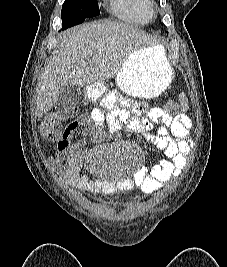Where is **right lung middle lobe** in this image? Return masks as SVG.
<instances>
[{
    "instance_id": "1",
    "label": "right lung middle lobe",
    "mask_w": 227,
    "mask_h": 267,
    "mask_svg": "<svg viewBox=\"0 0 227 267\" xmlns=\"http://www.w3.org/2000/svg\"><path fill=\"white\" fill-rule=\"evenodd\" d=\"M97 0H65L62 11V30L99 15Z\"/></svg>"
}]
</instances>
